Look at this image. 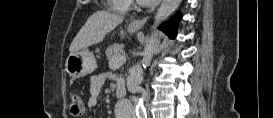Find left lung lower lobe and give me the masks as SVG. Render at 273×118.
<instances>
[{"instance_id":"1","label":"left lung lower lobe","mask_w":273,"mask_h":118,"mask_svg":"<svg viewBox=\"0 0 273 118\" xmlns=\"http://www.w3.org/2000/svg\"><path fill=\"white\" fill-rule=\"evenodd\" d=\"M182 15L177 12L169 21L163 23L159 29L165 32L171 39L176 38L177 28Z\"/></svg>"}]
</instances>
